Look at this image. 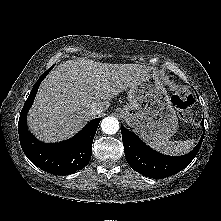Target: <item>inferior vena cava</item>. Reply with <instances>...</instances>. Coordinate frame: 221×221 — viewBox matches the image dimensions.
<instances>
[{"label":"inferior vena cava","instance_id":"602c4592","mask_svg":"<svg viewBox=\"0 0 221 221\" xmlns=\"http://www.w3.org/2000/svg\"><path fill=\"white\" fill-rule=\"evenodd\" d=\"M101 112H102L101 108L96 107V106H92V108L89 110L90 115H97Z\"/></svg>","mask_w":221,"mask_h":221}]
</instances>
